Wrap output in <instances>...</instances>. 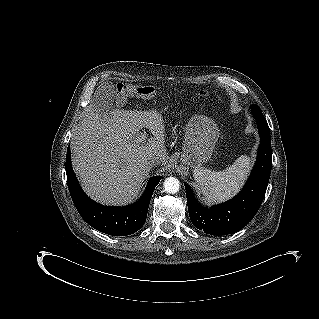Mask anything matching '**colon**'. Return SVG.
Here are the masks:
<instances>
[{
	"instance_id": "obj_1",
	"label": "colon",
	"mask_w": 319,
	"mask_h": 319,
	"mask_svg": "<svg viewBox=\"0 0 319 319\" xmlns=\"http://www.w3.org/2000/svg\"><path fill=\"white\" fill-rule=\"evenodd\" d=\"M117 103L123 105L125 100L130 96H137L144 99H151L157 91L153 86L145 84H118L117 85ZM200 96H208L206 92H200Z\"/></svg>"
}]
</instances>
